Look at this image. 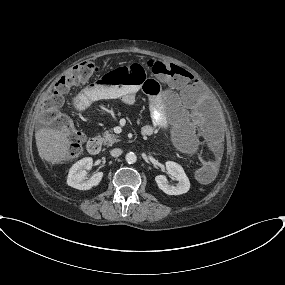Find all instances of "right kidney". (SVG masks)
I'll return each instance as SVG.
<instances>
[{
    "mask_svg": "<svg viewBox=\"0 0 285 285\" xmlns=\"http://www.w3.org/2000/svg\"><path fill=\"white\" fill-rule=\"evenodd\" d=\"M92 165L93 159L91 157L83 158L74 163L69 170L67 184L79 190H89L97 186L103 177V172H97L91 178L84 181L87 170H90Z\"/></svg>",
    "mask_w": 285,
    "mask_h": 285,
    "instance_id": "ca27d5eb",
    "label": "right kidney"
}]
</instances>
